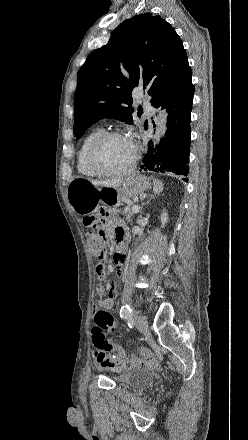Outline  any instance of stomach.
Returning <instances> with one entry per match:
<instances>
[{"label": "stomach", "instance_id": "0dacf381", "mask_svg": "<svg viewBox=\"0 0 248 440\" xmlns=\"http://www.w3.org/2000/svg\"><path fill=\"white\" fill-rule=\"evenodd\" d=\"M150 187L149 181L141 175L127 177L111 187L95 186L84 178L72 179L67 188L68 200L75 212L84 214L99 204L118 206L125 198H135Z\"/></svg>", "mask_w": 248, "mask_h": 440}]
</instances>
